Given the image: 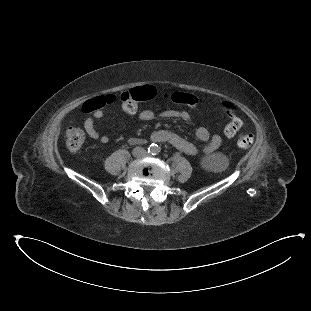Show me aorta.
Returning <instances> with one entry per match:
<instances>
[{"instance_id": "obj_1", "label": "aorta", "mask_w": 311, "mask_h": 311, "mask_svg": "<svg viewBox=\"0 0 311 311\" xmlns=\"http://www.w3.org/2000/svg\"><path fill=\"white\" fill-rule=\"evenodd\" d=\"M150 150H151L152 153H157V152L160 151L159 147L156 144L151 145L150 146Z\"/></svg>"}]
</instances>
